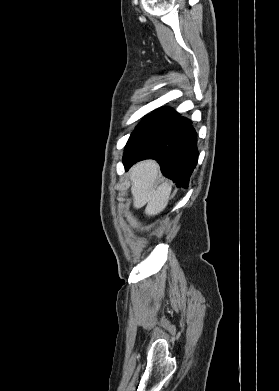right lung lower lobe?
Masks as SVG:
<instances>
[{
    "instance_id": "obj_1",
    "label": "right lung lower lobe",
    "mask_w": 279,
    "mask_h": 391,
    "mask_svg": "<svg viewBox=\"0 0 279 391\" xmlns=\"http://www.w3.org/2000/svg\"><path fill=\"white\" fill-rule=\"evenodd\" d=\"M147 158L157 160L162 173L177 187H187L198 161L197 134L191 121L171 108L163 110L142 134L126 145L125 170Z\"/></svg>"
}]
</instances>
